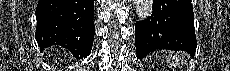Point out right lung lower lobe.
<instances>
[{
  "instance_id": "98d812e1",
  "label": "right lung lower lobe",
  "mask_w": 230,
  "mask_h": 71,
  "mask_svg": "<svg viewBox=\"0 0 230 71\" xmlns=\"http://www.w3.org/2000/svg\"><path fill=\"white\" fill-rule=\"evenodd\" d=\"M93 13L94 0H39L35 38L40 51L59 45L77 59L86 58L95 33Z\"/></svg>"
}]
</instances>
